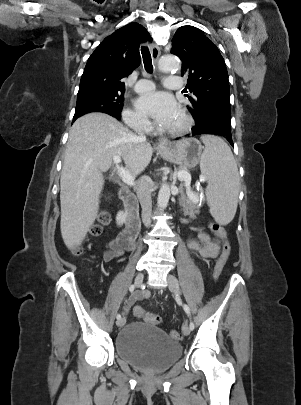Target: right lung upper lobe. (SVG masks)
<instances>
[{
	"instance_id": "cb5924a9",
	"label": "right lung upper lobe",
	"mask_w": 301,
	"mask_h": 405,
	"mask_svg": "<svg viewBox=\"0 0 301 405\" xmlns=\"http://www.w3.org/2000/svg\"><path fill=\"white\" fill-rule=\"evenodd\" d=\"M151 39L148 31L138 23L127 24L106 37L89 57L78 93L91 90L124 92L121 79L138 66L140 43Z\"/></svg>"
}]
</instances>
